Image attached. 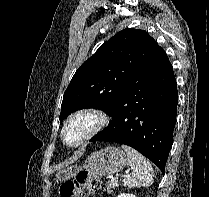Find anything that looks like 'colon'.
Returning a JSON list of instances; mask_svg holds the SVG:
<instances>
[{"label": "colon", "mask_w": 209, "mask_h": 197, "mask_svg": "<svg viewBox=\"0 0 209 197\" xmlns=\"http://www.w3.org/2000/svg\"><path fill=\"white\" fill-rule=\"evenodd\" d=\"M101 181L95 174L82 170L74 181H66L60 185V197H88L100 188Z\"/></svg>", "instance_id": "1"}]
</instances>
